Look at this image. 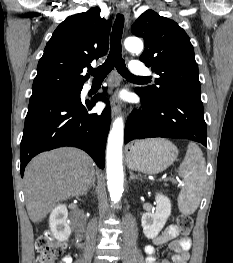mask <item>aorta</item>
<instances>
[{
    "mask_svg": "<svg viewBox=\"0 0 233 263\" xmlns=\"http://www.w3.org/2000/svg\"><path fill=\"white\" fill-rule=\"evenodd\" d=\"M125 48L139 54L143 51V43L137 37H128L125 40ZM124 138V123L121 117L112 125L107 142V185L111 201L118 202L123 193V166L122 146Z\"/></svg>",
    "mask_w": 233,
    "mask_h": 263,
    "instance_id": "aorta-1",
    "label": "aorta"
}]
</instances>
